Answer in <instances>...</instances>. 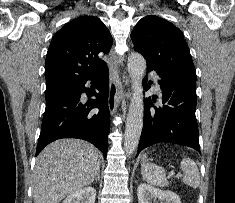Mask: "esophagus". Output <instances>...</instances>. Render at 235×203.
Returning a JSON list of instances; mask_svg holds the SVG:
<instances>
[{"label": "esophagus", "mask_w": 235, "mask_h": 203, "mask_svg": "<svg viewBox=\"0 0 235 203\" xmlns=\"http://www.w3.org/2000/svg\"><path fill=\"white\" fill-rule=\"evenodd\" d=\"M110 58L113 64V68L110 72V90H109V97H108V106L111 115H113L122 99L123 92L120 89L118 83V71H119V64H118V57L116 53L112 50L110 53Z\"/></svg>", "instance_id": "1"}]
</instances>
